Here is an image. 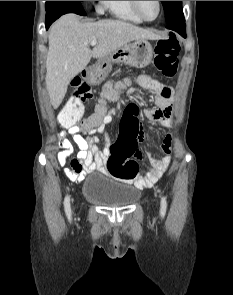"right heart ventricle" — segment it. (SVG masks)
Masks as SVG:
<instances>
[{
	"label": "right heart ventricle",
	"instance_id": "1",
	"mask_svg": "<svg viewBox=\"0 0 233 295\" xmlns=\"http://www.w3.org/2000/svg\"><path fill=\"white\" fill-rule=\"evenodd\" d=\"M106 8L118 19L141 23L142 20L133 11L130 1H106Z\"/></svg>",
	"mask_w": 233,
	"mask_h": 295
}]
</instances>
